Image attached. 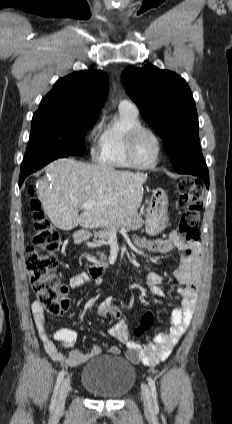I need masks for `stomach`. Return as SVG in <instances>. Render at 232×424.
<instances>
[{
	"label": "stomach",
	"instance_id": "0dacf381",
	"mask_svg": "<svg viewBox=\"0 0 232 424\" xmlns=\"http://www.w3.org/2000/svg\"><path fill=\"white\" fill-rule=\"evenodd\" d=\"M168 198L162 189L153 191L152 198L147 210L145 230L150 236L162 232L168 222Z\"/></svg>",
	"mask_w": 232,
	"mask_h": 424
}]
</instances>
